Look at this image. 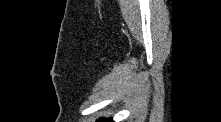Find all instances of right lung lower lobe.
Returning <instances> with one entry per match:
<instances>
[{
    "instance_id": "obj_1",
    "label": "right lung lower lobe",
    "mask_w": 221,
    "mask_h": 122,
    "mask_svg": "<svg viewBox=\"0 0 221 122\" xmlns=\"http://www.w3.org/2000/svg\"><path fill=\"white\" fill-rule=\"evenodd\" d=\"M100 122H112V120L111 119L110 120L100 119Z\"/></svg>"
}]
</instances>
